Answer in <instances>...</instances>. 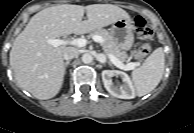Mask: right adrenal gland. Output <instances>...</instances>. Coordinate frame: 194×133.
I'll return each instance as SVG.
<instances>
[{
  "label": "right adrenal gland",
  "instance_id": "right-adrenal-gland-1",
  "mask_svg": "<svg viewBox=\"0 0 194 133\" xmlns=\"http://www.w3.org/2000/svg\"><path fill=\"white\" fill-rule=\"evenodd\" d=\"M69 63H70V61H66V62L64 63L65 71H66V67L69 65Z\"/></svg>",
  "mask_w": 194,
  "mask_h": 133
}]
</instances>
